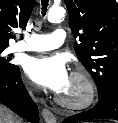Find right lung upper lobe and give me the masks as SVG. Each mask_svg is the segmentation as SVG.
<instances>
[{
  "instance_id": "cb5924a9",
  "label": "right lung upper lobe",
  "mask_w": 118,
  "mask_h": 123,
  "mask_svg": "<svg viewBox=\"0 0 118 123\" xmlns=\"http://www.w3.org/2000/svg\"><path fill=\"white\" fill-rule=\"evenodd\" d=\"M34 3L35 0H0V48H7L9 39H15L13 28L26 27Z\"/></svg>"
}]
</instances>
